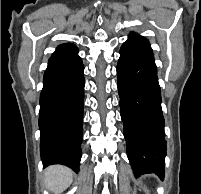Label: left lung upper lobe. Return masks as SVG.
<instances>
[{
    "instance_id": "obj_1",
    "label": "left lung upper lobe",
    "mask_w": 201,
    "mask_h": 194,
    "mask_svg": "<svg viewBox=\"0 0 201 194\" xmlns=\"http://www.w3.org/2000/svg\"><path fill=\"white\" fill-rule=\"evenodd\" d=\"M128 39L150 46L149 41L146 38H144L136 33H131L129 35Z\"/></svg>"
}]
</instances>
